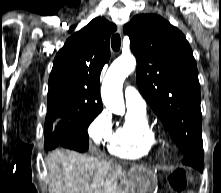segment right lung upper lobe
Wrapping results in <instances>:
<instances>
[{"label": "right lung upper lobe", "mask_w": 221, "mask_h": 193, "mask_svg": "<svg viewBox=\"0 0 221 193\" xmlns=\"http://www.w3.org/2000/svg\"><path fill=\"white\" fill-rule=\"evenodd\" d=\"M115 30L114 24L98 17L66 41L50 74L47 114L102 111L100 73L110 58L109 39Z\"/></svg>", "instance_id": "1"}]
</instances>
